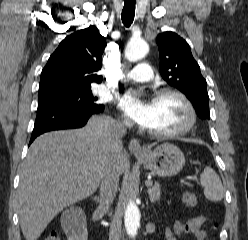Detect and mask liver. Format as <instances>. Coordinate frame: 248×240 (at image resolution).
I'll return each mask as SVG.
<instances>
[{
    "label": "liver",
    "mask_w": 248,
    "mask_h": 240,
    "mask_svg": "<svg viewBox=\"0 0 248 240\" xmlns=\"http://www.w3.org/2000/svg\"><path fill=\"white\" fill-rule=\"evenodd\" d=\"M113 120L93 116L76 130L39 136L29 148L20 171L18 208L26 240H37L65 207L98 188L108 155L107 127ZM119 175L128 161L123 146L113 153Z\"/></svg>",
    "instance_id": "1"
}]
</instances>
